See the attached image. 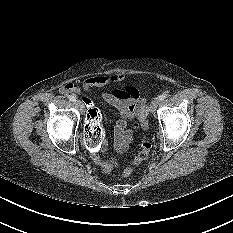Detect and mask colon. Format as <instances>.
I'll list each match as a JSON object with an SVG mask.
<instances>
[{"label": "colon", "mask_w": 233, "mask_h": 233, "mask_svg": "<svg viewBox=\"0 0 233 233\" xmlns=\"http://www.w3.org/2000/svg\"><path fill=\"white\" fill-rule=\"evenodd\" d=\"M85 148L89 154H96L102 148V139L104 137V130L101 121V116L99 109L97 107H90L87 112V119L85 122ZM141 127L143 129L148 128V121L144 118L141 121ZM152 144L147 137H143L140 150L133 160L134 165H139L145 161L150 153ZM132 174V169L130 167L124 169L122 175L123 177H129Z\"/></svg>", "instance_id": "colon-1"}]
</instances>
